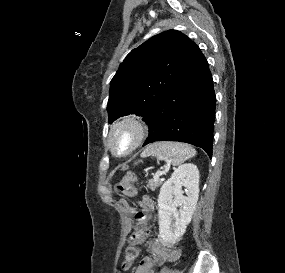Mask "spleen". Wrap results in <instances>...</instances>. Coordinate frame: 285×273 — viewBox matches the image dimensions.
<instances>
[{
    "instance_id": "3e777b00",
    "label": "spleen",
    "mask_w": 285,
    "mask_h": 273,
    "mask_svg": "<svg viewBox=\"0 0 285 273\" xmlns=\"http://www.w3.org/2000/svg\"><path fill=\"white\" fill-rule=\"evenodd\" d=\"M196 155V150L188 144L180 142H157L148 146L141 157L155 156L159 160H168L177 166Z\"/></svg>"
}]
</instances>
